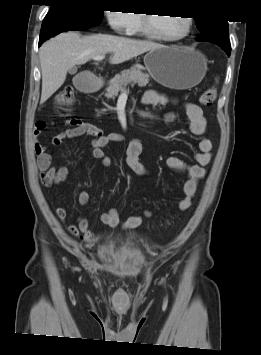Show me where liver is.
<instances>
[{"mask_svg":"<svg viewBox=\"0 0 261 355\" xmlns=\"http://www.w3.org/2000/svg\"><path fill=\"white\" fill-rule=\"evenodd\" d=\"M163 47L151 41L96 34L81 37L77 32L61 33L39 50L42 74L40 103L49 99L64 83L67 71L95 56L112 53L110 63L119 64L152 49Z\"/></svg>","mask_w":261,"mask_h":355,"instance_id":"6515ba94","label":"liver"}]
</instances>
